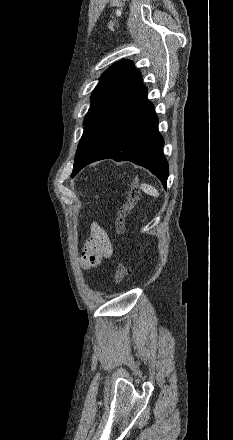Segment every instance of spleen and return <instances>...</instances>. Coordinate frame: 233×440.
<instances>
[{"instance_id":"1","label":"spleen","mask_w":233,"mask_h":440,"mask_svg":"<svg viewBox=\"0 0 233 440\" xmlns=\"http://www.w3.org/2000/svg\"><path fill=\"white\" fill-rule=\"evenodd\" d=\"M140 188L142 189V191L148 195H151L153 197H158L159 196V191L153 187L152 185L143 183L141 184Z\"/></svg>"}]
</instances>
